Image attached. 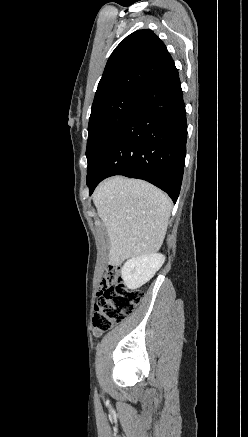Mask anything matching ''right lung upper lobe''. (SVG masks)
Wrapping results in <instances>:
<instances>
[{
    "instance_id": "obj_1",
    "label": "right lung upper lobe",
    "mask_w": 248,
    "mask_h": 437,
    "mask_svg": "<svg viewBox=\"0 0 248 437\" xmlns=\"http://www.w3.org/2000/svg\"><path fill=\"white\" fill-rule=\"evenodd\" d=\"M164 43L151 30L128 35L108 59L91 110L126 92H140L171 62Z\"/></svg>"
}]
</instances>
